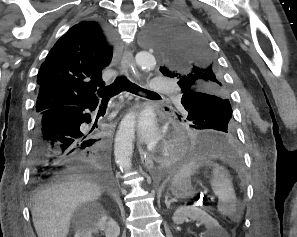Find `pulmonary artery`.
Returning a JSON list of instances; mask_svg holds the SVG:
<instances>
[{
    "mask_svg": "<svg viewBox=\"0 0 297 237\" xmlns=\"http://www.w3.org/2000/svg\"><path fill=\"white\" fill-rule=\"evenodd\" d=\"M150 88L154 91H172L176 92V88L173 82L164 79L163 77H157L154 79Z\"/></svg>",
    "mask_w": 297,
    "mask_h": 237,
    "instance_id": "pulmonary-artery-1",
    "label": "pulmonary artery"
}]
</instances>
